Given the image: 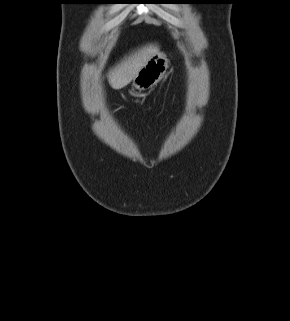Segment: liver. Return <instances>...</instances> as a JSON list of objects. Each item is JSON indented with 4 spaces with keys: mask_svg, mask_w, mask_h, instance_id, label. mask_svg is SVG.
Listing matches in <instances>:
<instances>
[{
    "mask_svg": "<svg viewBox=\"0 0 290 321\" xmlns=\"http://www.w3.org/2000/svg\"><path fill=\"white\" fill-rule=\"evenodd\" d=\"M159 52L155 45L145 46L126 57L109 73V84L114 89H121L128 85L137 73L144 67L147 61Z\"/></svg>",
    "mask_w": 290,
    "mask_h": 321,
    "instance_id": "liver-1",
    "label": "liver"
}]
</instances>
